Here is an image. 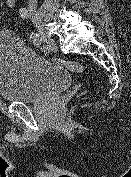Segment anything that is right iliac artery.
I'll use <instances>...</instances> for the list:
<instances>
[{"mask_svg":"<svg viewBox=\"0 0 131 177\" xmlns=\"http://www.w3.org/2000/svg\"><path fill=\"white\" fill-rule=\"evenodd\" d=\"M19 14L23 19H27L29 14H28V10L26 8H20L19 10ZM30 39L32 41V43L36 46H41V49L44 52H48L49 51V46L48 45H42V38L39 37L38 33L32 32L30 35Z\"/></svg>","mask_w":131,"mask_h":177,"instance_id":"82829eb1","label":"right iliac artery"}]
</instances>
